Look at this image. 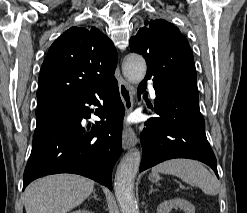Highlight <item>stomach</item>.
Listing matches in <instances>:
<instances>
[{
	"mask_svg": "<svg viewBox=\"0 0 247 213\" xmlns=\"http://www.w3.org/2000/svg\"><path fill=\"white\" fill-rule=\"evenodd\" d=\"M149 179L152 181V182H156L159 180V175L158 174H151L149 176Z\"/></svg>",
	"mask_w": 247,
	"mask_h": 213,
	"instance_id": "0dacf381",
	"label": "stomach"
}]
</instances>
